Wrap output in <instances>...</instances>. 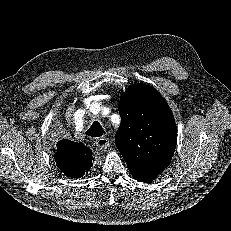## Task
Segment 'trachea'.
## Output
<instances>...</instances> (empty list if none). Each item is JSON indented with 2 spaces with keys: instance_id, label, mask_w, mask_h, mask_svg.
<instances>
[{
  "instance_id": "obj_1",
  "label": "trachea",
  "mask_w": 231,
  "mask_h": 231,
  "mask_svg": "<svg viewBox=\"0 0 231 231\" xmlns=\"http://www.w3.org/2000/svg\"><path fill=\"white\" fill-rule=\"evenodd\" d=\"M85 134L90 137H100L104 134V130L99 122L94 121Z\"/></svg>"
}]
</instances>
